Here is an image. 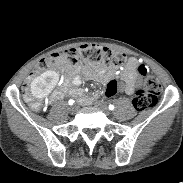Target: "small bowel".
Returning <instances> with one entry per match:
<instances>
[{
	"mask_svg": "<svg viewBox=\"0 0 183 183\" xmlns=\"http://www.w3.org/2000/svg\"><path fill=\"white\" fill-rule=\"evenodd\" d=\"M137 60L131 58L124 69L122 70V77L124 82L119 85V91H123L126 94H133L140 79V75L137 72ZM116 74V71L111 67L106 66H95L90 70H85V76L91 80L106 83ZM83 83V77L81 75H76L71 80L72 88H78ZM67 93H72V90L68 88L66 84L60 86L52 97V101L59 100L63 98Z\"/></svg>",
	"mask_w": 183,
	"mask_h": 183,
	"instance_id": "1",
	"label": "small bowel"
}]
</instances>
